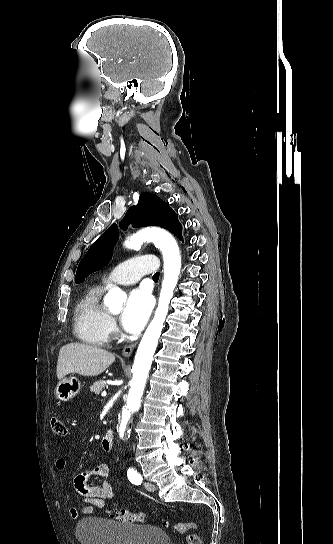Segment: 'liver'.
<instances>
[{
	"label": "liver",
	"instance_id": "obj_1",
	"mask_svg": "<svg viewBox=\"0 0 333 544\" xmlns=\"http://www.w3.org/2000/svg\"><path fill=\"white\" fill-rule=\"evenodd\" d=\"M114 361V354L104 349L83 343H69L59 351L57 377L62 379L69 373L97 376Z\"/></svg>",
	"mask_w": 333,
	"mask_h": 544
}]
</instances>
